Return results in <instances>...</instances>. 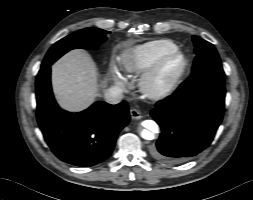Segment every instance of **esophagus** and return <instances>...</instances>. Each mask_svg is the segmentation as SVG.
Instances as JSON below:
<instances>
[{
    "instance_id": "1",
    "label": "esophagus",
    "mask_w": 253,
    "mask_h": 200,
    "mask_svg": "<svg viewBox=\"0 0 253 200\" xmlns=\"http://www.w3.org/2000/svg\"><path fill=\"white\" fill-rule=\"evenodd\" d=\"M130 115H131L132 119H141L142 118L141 112L136 109H131Z\"/></svg>"
}]
</instances>
